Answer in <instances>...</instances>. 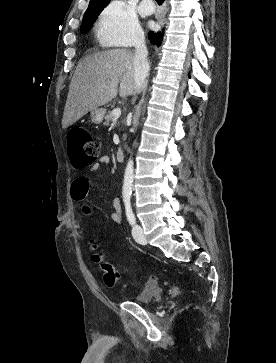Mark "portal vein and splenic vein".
Segmentation results:
<instances>
[{"label": "portal vein and splenic vein", "instance_id": "18ae733b", "mask_svg": "<svg viewBox=\"0 0 276 363\" xmlns=\"http://www.w3.org/2000/svg\"><path fill=\"white\" fill-rule=\"evenodd\" d=\"M112 115H113V119L116 120L120 117L121 115V109L120 108H116L112 111Z\"/></svg>", "mask_w": 276, "mask_h": 363}]
</instances>
